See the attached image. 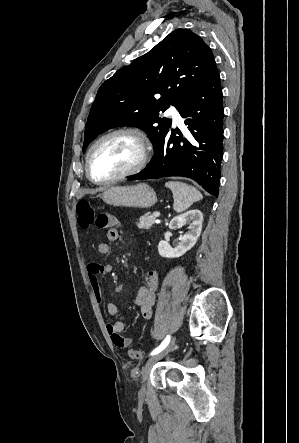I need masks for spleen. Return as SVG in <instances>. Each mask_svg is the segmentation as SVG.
Here are the masks:
<instances>
[{"label": "spleen", "mask_w": 299, "mask_h": 443, "mask_svg": "<svg viewBox=\"0 0 299 443\" xmlns=\"http://www.w3.org/2000/svg\"><path fill=\"white\" fill-rule=\"evenodd\" d=\"M165 186L172 191L173 208L178 213L187 210L194 202L203 198L195 187L183 182L169 181L165 183Z\"/></svg>", "instance_id": "1"}]
</instances>
